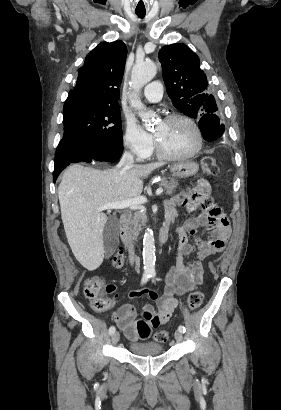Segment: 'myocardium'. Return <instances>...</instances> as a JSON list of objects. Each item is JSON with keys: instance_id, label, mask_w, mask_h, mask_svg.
<instances>
[{"instance_id": "f54148a6", "label": "myocardium", "mask_w": 281, "mask_h": 410, "mask_svg": "<svg viewBox=\"0 0 281 410\" xmlns=\"http://www.w3.org/2000/svg\"><path fill=\"white\" fill-rule=\"evenodd\" d=\"M173 120H183L185 122H187L189 125L192 126V128L195 131L196 134V147L185 154H172L169 153L168 151H166L161 144L159 143L158 139L156 138V136H154V146H155V150L157 152V154L166 160H183V159H189L194 157L195 155H197L202 147H203V134L201 131V128L199 127V125L197 124V122L190 116L183 114V113H172L170 115H167L163 121L165 122H169V121H173Z\"/></svg>"}]
</instances>
